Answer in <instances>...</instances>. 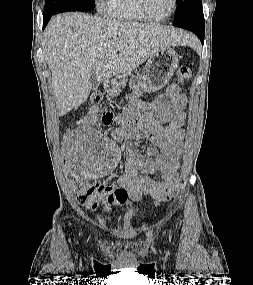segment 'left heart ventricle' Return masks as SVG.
<instances>
[{"instance_id":"1","label":"left heart ventricle","mask_w":253,"mask_h":285,"mask_svg":"<svg viewBox=\"0 0 253 285\" xmlns=\"http://www.w3.org/2000/svg\"><path fill=\"white\" fill-rule=\"evenodd\" d=\"M172 0H145L148 14L155 18L167 16L172 9Z\"/></svg>"}]
</instances>
